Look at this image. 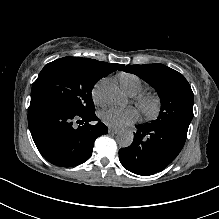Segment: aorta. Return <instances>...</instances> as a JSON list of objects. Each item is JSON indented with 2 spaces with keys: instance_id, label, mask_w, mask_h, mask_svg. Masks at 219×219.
Instances as JSON below:
<instances>
[{
  "instance_id": "762f6f07",
  "label": "aorta",
  "mask_w": 219,
  "mask_h": 219,
  "mask_svg": "<svg viewBox=\"0 0 219 219\" xmlns=\"http://www.w3.org/2000/svg\"><path fill=\"white\" fill-rule=\"evenodd\" d=\"M104 95L110 105L123 107L127 103L126 97L116 87H107ZM133 138V133L125 130L118 134L117 143L123 148L129 147L133 142Z\"/></svg>"
}]
</instances>
